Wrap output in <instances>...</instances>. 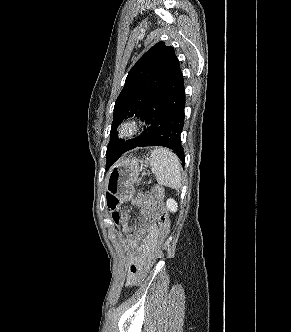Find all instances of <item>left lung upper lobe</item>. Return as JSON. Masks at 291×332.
I'll return each mask as SVG.
<instances>
[{
  "label": "left lung upper lobe",
  "instance_id": "5c2ea615",
  "mask_svg": "<svg viewBox=\"0 0 291 332\" xmlns=\"http://www.w3.org/2000/svg\"><path fill=\"white\" fill-rule=\"evenodd\" d=\"M179 67L174 48L159 42L151 47L131 68L115 106L107 162L127 142L117 138L116 130L123 119L137 116L142 119L146 109L167 85Z\"/></svg>",
  "mask_w": 291,
  "mask_h": 332
}]
</instances>
